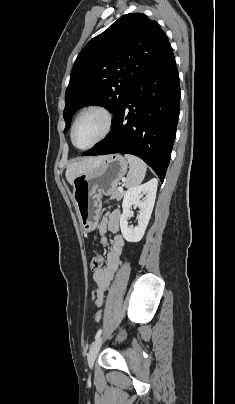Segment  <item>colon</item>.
Segmentation results:
<instances>
[{
    "label": "colon",
    "instance_id": "1",
    "mask_svg": "<svg viewBox=\"0 0 235 404\" xmlns=\"http://www.w3.org/2000/svg\"><path fill=\"white\" fill-rule=\"evenodd\" d=\"M103 263H104V258H103V256H102V254L96 253V254L92 257V259H91L90 268H91L93 271H97V270H99V269L102 268ZM102 317H103V313H102L101 310H99V311H97V312L95 313V315H94V320H95L97 323H99V322L102 320Z\"/></svg>",
    "mask_w": 235,
    "mask_h": 404
}]
</instances>
